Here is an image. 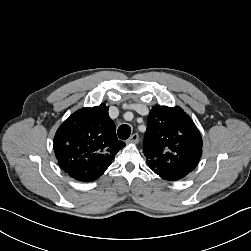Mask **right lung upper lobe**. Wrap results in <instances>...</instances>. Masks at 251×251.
<instances>
[{
    "label": "right lung upper lobe",
    "instance_id": "obj_1",
    "mask_svg": "<svg viewBox=\"0 0 251 251\" xmlns=\"http://www.w3.org/2000/svg\"><path fill=\"white\" fill-rule=\"evenodd\" d=\"M124 146L104 104L72 114L57 130L53 145L61 168L79 181L100 177Z\"/></svg>",
    "mask_w": 251,
    "mask_h": 251
}]
</instances>
